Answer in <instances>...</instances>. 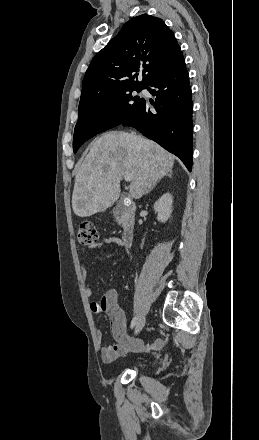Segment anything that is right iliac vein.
I'll list each match as a JSON object with an SVG mask.
<instances>
[{"label":"right iliac vein","mask_w":259,"mask_h":440,"mask_svg":"<svg viewBox=\"0 0 259 440\" xmlns=\"http://www.w3.org/2000/svg\"><path fill=\"white\" fill-rule=\"evenodd\" d=\"M144 325H145V316H141L136 323L135 335H137L142 330Z\"/></svg>","instance_id":"right-iliac-vein-1"}]
</instances>
